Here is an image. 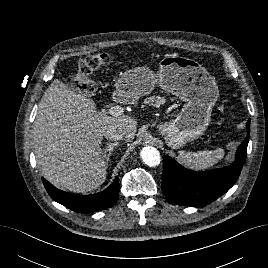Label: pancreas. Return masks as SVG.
<instances>
[{
  "label": "pancreas",
  "instance_id": "pancreas-1",
  "mask_svg": "<svg viewBox=\"0 0 268 268\" xmlns=\"http://www.w3.org/2000/svg\"><path fill=\"white\" fill-rule=\"evenodd\" d=\"M164 101L165 99L160 96H151L144 100V104H149V105L160 104L161 102H164Z\"/></svg>",
  "mask_w": 268,
  "mask_h": 268
}]
</instances>
